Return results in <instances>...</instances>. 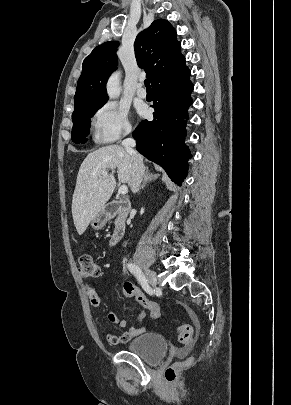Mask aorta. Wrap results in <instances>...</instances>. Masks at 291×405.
Wrapping results in <instances>:
<instances>
[{
  "label": "aorta",
  "mask_w": 291,
  "mask_h": 405,
  "mask_svg": "<svg viewBox=\"0 0 291 405\" xmlns=\"http://www.w3.org/2000/svg\"><path fill=\"white\" fill-rule=\"evenodd\" d=\"M107 93L110 99L117 98L120 94V78L118 73H114L108 80Z\"/></svg>",
  "instance_id": "obj_1"
}]
</instances>
